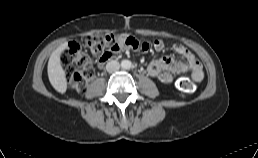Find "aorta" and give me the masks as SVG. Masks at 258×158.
I'll use <instances>...</instances> for the list:
<instances>
[{"label": "aorta", "mask_w": 258, "mask_h": 158, "mask_svg": "<svg viewBox=\"0 0 258 158\" xmlns=\"http://www.w3.org/2000/svg\"><path fill=\"white\" fill-rule=\"evenodd\" d=\"M121 67L123 68V69H130L131 67H132V62L131 61H129V60H123L122 62H121Z\"/></svg>", "instance_id": "aorta-1"}]
</instances>
